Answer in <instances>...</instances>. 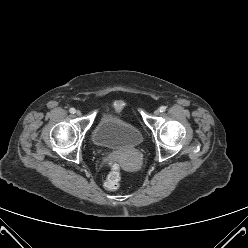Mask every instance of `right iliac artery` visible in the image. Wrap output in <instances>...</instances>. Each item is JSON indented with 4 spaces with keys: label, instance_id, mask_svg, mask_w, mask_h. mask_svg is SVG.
Masks as SVG:
<instances>
[{
    "label": "right iliac artery",
    "instance_id": "1",
    "mask_svg": "<svg viewBox=\"0 0 248 248\" xmlns=\"http://www.w3.org/2000/svg\"><path fill=\"white\" fill-rule=\"evenodd\" d=\"M70 113L74 114L76 112V110L74 108H70Z\"/></svg>",
    "mask_w": 248,
    "mask_h": 248
}]
</instances>
